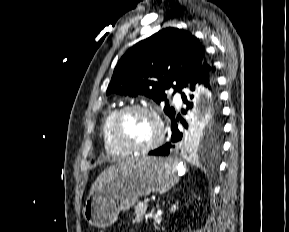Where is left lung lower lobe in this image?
Here are the masks:
<instances>
[{"mask_svg": "<svg viewBox=\"0 0 289 232\" xmlns=\"http://www.w3.org/2000/svg\"><path fill=\"white\" fill-rule=\"evenodd\" d=\"M198 84L204 85L208 90V95L210 100H212L213 105L211 107L210 112L207 114L206 119L212 118L214 115H220V109L217 103V91H216V81L214 76V69L211 63L204 59L201 67L198 69L194 77L191 79V81L187 84L185 87L188 91H194L196 86ZM183 101L185 104H187V108H191L193 104L189 102V100L193 99V94L191 93H182L181 95ZM186 113V111H183ZM171 142L166 143L162 147L155 149L153 151L149 152V155L153 156H167L170 154V152H181V151H187L185 149L183 138V133L178 129L177 120L174 118L171 120Z\"/></svg>", "mask_w": 289, "mask_h": 232, "instance_id": "0a47b994", "label": "left lung lower lobe"}]
</instances>
